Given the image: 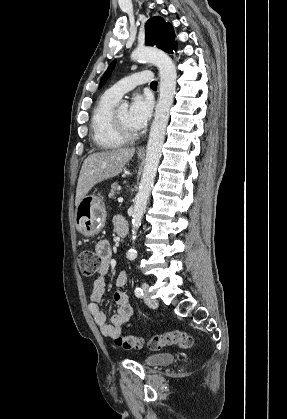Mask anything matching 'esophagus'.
<instances>
[{"label": "esophagus", "instance_id": "34e87169", "mask_svg": "<svg viewBox=\"0 0 287 419\" xmlns=\"http://www.w3.org/2000/svg\"><path fill=\"white\" fill-rule=\"evenodd\" d=\"M138 154H144L145 153V147H140L137 151Z\"/></svg>", "mask_w": 287, "mask_h": 419}]
</instances>
